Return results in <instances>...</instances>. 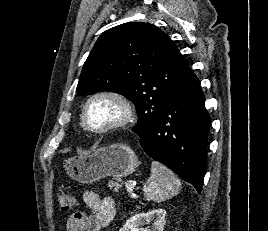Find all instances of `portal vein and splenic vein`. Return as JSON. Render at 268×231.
<instances>
[{
	"instance_id": "obj_1",
	"label": "portal vein and splenic vein",
	"mask_w": 268,
	"mask_h": 231,
	"mask_svg": "<svg viewBox=\"0 0 268 231\" xmlns=\"http://www.w3.org/2000/svg\"><path fill=\"white\" fill-rule=\"evenodd\" d=\"M126 188L129 192L133 191V185L132 184H126Z\"/></svg>"
}]
</instances>
